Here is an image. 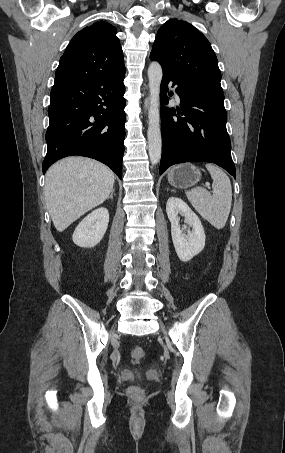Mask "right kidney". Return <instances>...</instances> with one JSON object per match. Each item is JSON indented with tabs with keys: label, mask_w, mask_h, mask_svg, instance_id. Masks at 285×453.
<instances>
[{
	"label": "right kidney",
	"mask_w": 285,
	"mask_h": 453,
	"mask_svg": "<svg viewBox=\"0 0 285 453\" xmlns=\"http://www.w3.org/2000/svg\"><path fill=\"white\" fill-rule=\"evenodd\" d=\"M109 223V213L105 207L98 208L87 215L76 227L73 242L84 248L97 245L103 238Z\"/></svg>",
	"instance_id": "1"
}]
</instances>
